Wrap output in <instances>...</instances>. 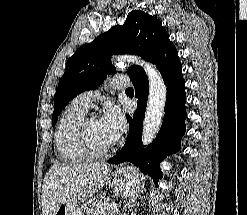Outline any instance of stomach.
I'll return each instance as SVG.
<instances>
[{"label":"stomach","instance_id":"0dacf381","mask_svg":"<svg viewBox=\"0 0 247 215\" xmlns=\"http://www.w3.org/2000/svg\"><path fill=\"white\" fill-rule=\"evenodd\" d=\"M109 183L116 193L122 197L136 195L140 190V179L132 167L121 168L109 176ZM82 209L75 201L59 204L53 215H81Z\"/></svg>","mask_w":247,"mask_h":215}]
</instances>
